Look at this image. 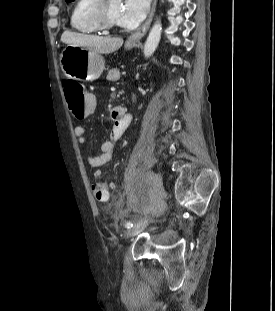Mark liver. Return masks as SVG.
Here are the masks:
<instances>
[{"label": "liver", "mask_w": 275, "mask_h": 311, "mask_svg": "<svg viewBox=\"0 0 275 311\" xmlns=\"http://www.w3.org/2000/svg\"><path fill=\"white\" fill-rule=\"evenodd\" d=\"M61 41L72 46L86 47L100 54L112 53L123 44V39L120 37H101L69 31L62 34Z\"/></svg>", "instance_id": "obj_1"}]
</instances>
